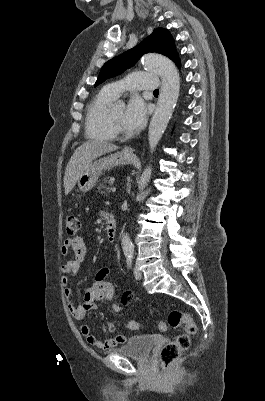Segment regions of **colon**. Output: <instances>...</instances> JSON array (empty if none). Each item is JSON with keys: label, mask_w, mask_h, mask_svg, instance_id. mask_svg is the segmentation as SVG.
<instances>
[{"label": "colon", "mask_w": 265, "mask_h": 401, "mask_svg": "<svg viewBox=\"0 0 265 401\" xmlns=\"http://www.w3.org/2000/svg\"><path fill=\"white\" fill-rule=\"evenodd\" d=\"M79 228V219L74 215L68 216L66 219L67 233L73 235L77 233ZM128 325L131 329L139 328V323L136 320H130ZM179 326L184 327V332L171 342L165 344L160 351V363L163 369H169L178 360L181 354L189 348L190 336L196 333L197 326L188 314L179 310H172L167 320L159 323V329L161 331L166 330L168 327L177 328Z\"/></svg>", "instance_id": "colon-1"}]
</instances>
